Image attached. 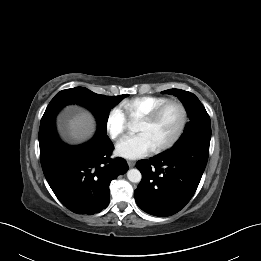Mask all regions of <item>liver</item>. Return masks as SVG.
Here are the masks:
<instances>
[{
	"label": "liver",
	"instance_id": "1",
	"mask_svg": "<svg viewBox=\"0 0 261 261\" xmlns=\"http://www.w3.org/2000/svg\"><path fill=\"white\" fill-rule=\"evenodd\" d=\"M67 128L71 139L83 141L94 133L95 121L89 112L82 111L69 120Z\"/></svg>",
	"mask_w": 261,
	"mask_h": 261
}]
</instances>
